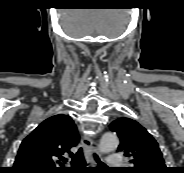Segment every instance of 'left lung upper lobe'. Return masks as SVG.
I'll return each instance as SVG.
<instances>
[{"label": "left lung upper lobe", "mask_w": 184, "mask_h": 173, "mask_svg": "<svg viewBox=\"0 0 184 173\" xmlns=\"http://www.w3.org/2000/svg\"><path fill=\"white\" fill-rule=\"evenodd\" d=\"M110 130L120 138L118 151L130 158L133 167L124 173H167L158 143L138 122L129 118H119L110 125Z\"/></svg>", "instance_id": "left-lung-upper-lobe-1"}]
</instances>
